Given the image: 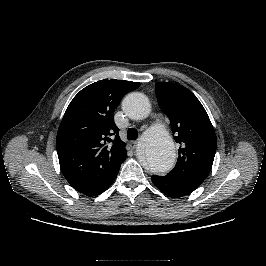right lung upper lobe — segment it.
I'll return each mask as SVG.
<instances>
[{
    "mask_svg": "<svg viewBox=\"0 0 266 266\" xmlns=\"http://www.w3.org/2000/svg\"><path fill=\"white\" fill-rule=\"evenodd\" d=\"M140 86L125 80H100L70 102L56 138L60 168L77 191L96 188L111 178L126 159L113 113L122 97Z\"/></svg>",
    "mask_w": 266,
    "mask_h": 266,
    "instance_id": "obj_1",
    "label": "right lung upper lobe"
}]
</instances>
